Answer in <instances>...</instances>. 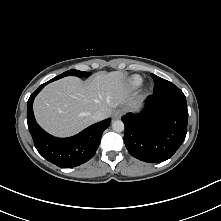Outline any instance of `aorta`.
<instances>
[{
    "label": "aorta",
    "instance_id": "762f6f07",
    "mask_svg": "<svg viewBox=\"0 0 221 221\" xmlns=\"http://www.w3.org/2000/svg\"><path fill=\"white\" fill-rule=\"evenodd\" d=\"M112 129L115 132H122L124 130V123L121 120H115L112 122Z\"/></svg>",
    "mask_w": 221,
    "mask_h": 221
}]
</instances>
